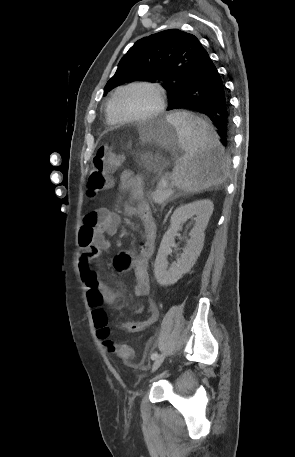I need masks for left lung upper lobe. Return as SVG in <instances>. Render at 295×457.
<instances>
[{
    "instance_id": "left-lung-upper-lobe-1",
    "label": "left lung upper lobe",
    "mask_w": 295,
    "mask_h": 457,
    "mask_svg": "<svg viewBox=\"0 0 295 457\" xmlns=\"http://www.w3.org/2000/svg\"><path fill=\"white\" fill-rule=\"evenodd\" d=\"M201 48L196 36L178 29L144 37L122 57L104 93L124 82L159 83L171 102L183 89L188 68Z\"/></svg>"
}]
</instances>
